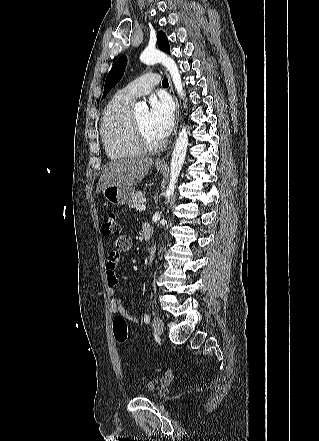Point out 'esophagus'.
Wrapping results in <instances>:
<instances>
[{
	"mask_svg": "<svg viewBox=\"0 0 319 441\" xmlns=\"http://www.w3.org/2000/svg\"><path fill=\"white\" fill-rule=\"evenodd\" d=\"M165 73H166V75L168 77V80H169V90H170V93L173 96V99H174V102H175V106H176V120H175V124H176V126H175V134H176L177 128H178V123H179V103H178V99H177V97H176V95L174 93L170 76L168 75V73L166 71H165ZM170 152H171V150H169V152L167 153V155L165 157L158 159L156 161V164L157 165H166V160H167L168 156L170 155Z\"/></svg>",
	"mask_w": 319,
	"mask_h": 441,
	"instance_id": "obj_1",
	"label": "esophagus"
}]
</instances>
